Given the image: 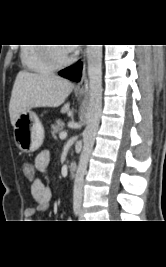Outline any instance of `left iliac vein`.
<instances>
[{"mask_svg":"<svg viewBox=\"0 0 166 267\" xmlns=\"http://www.w3.org/2000/svg\"><path fill=\"white\" fill-rule=\"evenodd\" d=\"M79 219H80L81 221H84V212H83L82 209H80V212H79Z\"/></svg>","mask_w":166,"mask_h":267,"instance_id":"obj_1","label":"left iliac vein"}]
</instances>
